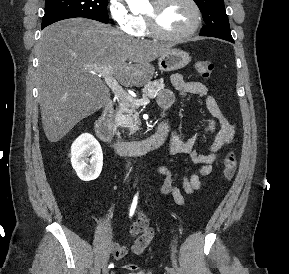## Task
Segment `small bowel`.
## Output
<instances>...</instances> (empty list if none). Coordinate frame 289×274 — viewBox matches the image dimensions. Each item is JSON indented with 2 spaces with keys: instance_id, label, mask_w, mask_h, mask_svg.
<instances>
[{
  "instance_id": "obj_1",
  "label": "small bowel",
  "mask_w": 289,
  "mask_h": 274,
  "mask_svg": "<svg viewBox=\"0 0 289 274\" xmlns=\"http://www.w3.org/2000/svg\"><path fill=\"white\" fill-rule=\"evenodd\" d=\"M171 83L174 89L184 97L188 98L194 95L204 97L206 108L211 115L207 127L202 132L184 139L179 131H173L169 138L171 155L173 157L186 155L196 166L195 170L187 172L182 179V190L186 194H193L201 188L202 178L213 172L214 163L218 161L221 151L232 143L235 125L224 116L216 99L209 93L205 84L197 81H185L179 74H174L171 77ZM174 101V93L168 89L163 90L158 97L159 105L166 112L171 110ZM207 135H212L213 141L204 152H199L196 145L202 137ZM156 173L165 178L159 195H171L176 204L184 205L185 197L176 185L175 175L170 166L160 165L156 168ZM130 234L133 239L130 247L118 243L111 244V252L116 260L123 259L129 251L135 255L141 254L153 239L154 229L143 213H138V219L130 227Z\"/></svg>"
}]
</instances>
